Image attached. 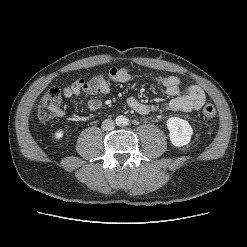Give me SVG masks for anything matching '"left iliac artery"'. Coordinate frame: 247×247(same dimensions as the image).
Instances as JSON below:
<instances>
[{
	"mask_svg": "<svg viewBox=\"0 0 247 247\" xmlns=\"http://www.w3.org/2000/svg\"><path fill=\"white\" fill-rule=\"evenodd\" d=\"M124 124H125V125H127V124H128V120H127V119H125Z\"/></svg>",
	"mask_w": 247,
	"mask_h": 247,
	"instance_id": "44dca946",
	"label": "left iliac artery"
}]
</instances>
